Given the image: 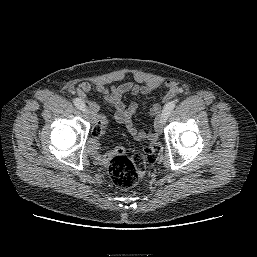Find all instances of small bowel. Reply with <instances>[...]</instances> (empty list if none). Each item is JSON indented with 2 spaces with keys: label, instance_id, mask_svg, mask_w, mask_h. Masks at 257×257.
<instances>
[{
  "label": "small bowel",
  "instance_id": "c3829d8e",
  "mask_svg": "<svg viewBox=\"0 0 257 257\" xmlns=\"http://www.w3.org/2000/svg\"><path fill=\"white\" fill-rule=\"evenodd\" d=\"M159 81H151L144 85H139L133 82H123L117 86L107 87L103 84H96V92L103 98L105 103L111 107L114 112L112 118L123 125H125L130 135L138 141L146 138L155 140L157 138V127L154 124L153 128L147 133L141 129H138L133 121V116L141 109L145 108L144 104L132 102L126 105L123 101V96L126 94L139 95L148 94L160 86ZM168 90L165 98L170 99L179 93V88L173 83L167 84ZM92 90V85L88 82H83L77 87V95L81 101L85 103L91 110L94 116V122L96 125H100L103 129L109 124L111 118L108 116L98 115L99 105L97 102L89 98V94ZM160 110V105L155 104L151 108L152 115L156 116Z\"/></svg>",
  "mask_w": 257,
  "mask_h": 257
}]
</instances>
